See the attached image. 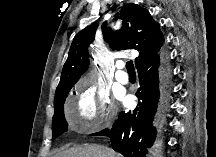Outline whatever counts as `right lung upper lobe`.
I'll list each match as a JSON object with an SVG mask.
<instances>
[{
	"label": "right lung upper lobe",
	"mask_w": 216,
	"mask_h": 157,
	"mask_svg": "<svg viewBox=\"0 0 216 157\" xmlns=\"http://www.w3.org/2000/svg\"><path fill=\"white\" fill-rule=\"evenodd\" d=\"M119 16L121 29L111 31L102 25L104 39L113 50L136 49L140 55L135 59L136 68L156 58L164 41L159 24L153 20L148 10L129 3L121 8ZM98 23L86 27L73 39L68 58L63 66L55 97L64 89L72 88L89 66L88 46L94 40Z\"/></svg>",
	"instance_id": "cb5924a9"
}]
</instances>
